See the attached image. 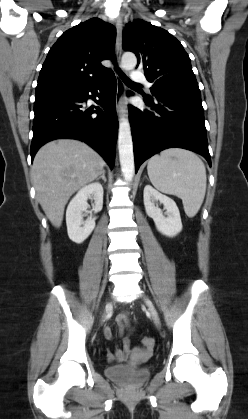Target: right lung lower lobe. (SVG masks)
I'll return each instance as SVG.
<instances>
[{"label": "right lung lower lobe", "instance_id": "1", "mask_svg": "<svg viewBox=\"0 0 248 419\" xmlns=\"http://www.w3.org/2000/svg\"><path fill=\"white\" fill-rule=\"evenodd\" d=\"M116 89L111 70L100 81L78 90L35 95L31 159L51 140L74 138L93 147L113 168L118 129ZM89 98L98 104L96 110L86 107Z\"/></svg>", "mask_w": 248, "mask_h": 419}]
</instances>
